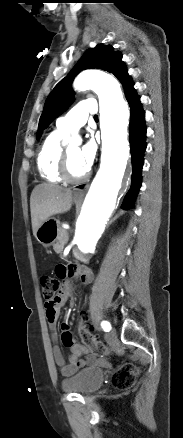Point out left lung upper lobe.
I'll return each mask as SVG.
<instances>
[{
    "label": "left lung upper lobe",
    "instance_id": "obj_1",
    "mask_svg": "<svg viewBox=\"0 0 183 438\" xmlns=\"http://www.w3.org/2000/svg\"><path fill=\"white\" fill-rule=\"evenodd\" d=\"M113 49L111 45L103 44L88 49L70 73L55 86L45 102L39 121L37 140L41 137V131L46 129L55 118L71 105L74 96L70 86L74 77L82 70L97 68L108 71L113 73L123 86L131 80L125 64L121 61V53L113 51Z\"/></svg>",
    "mask_w": 183,
    "mask_h": 438
}]
</instances>
